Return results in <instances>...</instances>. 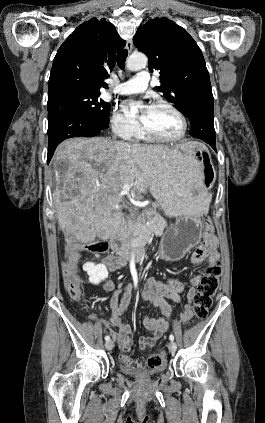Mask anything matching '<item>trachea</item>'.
<instances>
[{"label":"trachea","mask_w":265,"mask_h":423,"mask_svg":"<svg viewBox=\"0 0 265 423\" xmlns=\"http://www.w3.org/2000/svg\"><path fill=\"white\" fill-rule=\"evenodd\" d=\"M127 56L128 51L126 49H122L117 53L116 59L120 69H124Z\"/></svg>","instance_id":"obj_1"}]
</instances>
